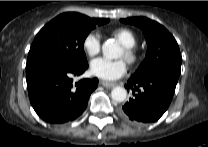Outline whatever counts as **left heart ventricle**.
Returning <instances> with one entry per match:
<instances>
[{"instance_id":"b2bd125f","label":"left heart ventricle","mask_w":208,"mask_h":147,"mask_svg":"<svg viewBox=\"0 0 208 147\" xmlns=\"http://www.w3.org/2000/svg\"><path fill=\"white\" fill-rule=\"evenodd\" d=\"M125 56V53H124V51L122 52V57H124Z\"/></svg>"}]
</instances>
